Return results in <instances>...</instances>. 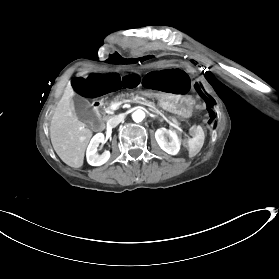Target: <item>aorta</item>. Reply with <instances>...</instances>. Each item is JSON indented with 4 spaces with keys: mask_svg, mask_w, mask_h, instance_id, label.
I'll use <instances>...</instances> for the list:
<instances>
[{
    "mask_svg": "<svg viewBox=\"0 0 279 279\" xmlns=\"http://www.w3.org/2000/svg\"><path fill=\"white\" fill-rule=\"evenodd\" d=\"M132 118L135 122H140L145 118V112L143 110L138 109L135 112H133Z\"/></svg>",
    "mask_w": 279,
    "mask_h": 279,
    "instance_id": "1",
    "label": "aorta"
}]
</instances>
